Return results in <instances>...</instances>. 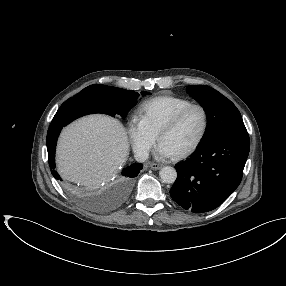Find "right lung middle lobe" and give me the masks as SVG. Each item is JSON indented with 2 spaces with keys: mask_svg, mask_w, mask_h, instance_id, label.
Masks as SVG:
<instances>
[{
  "mask_svg": "<svg viewBox=\"0 0 286 286\" xmlns=\"http://www.w3.org/2000/svg\"><path fill=\"white\" fill-rule=\"evenodd\" d=\"M149 92H141L147 95ZM139 94L132 90L95 84L84 88L73 98H69L58 109L52 121L67 125L81 116L93 113H102L114 117L116 114L125 118L128 111L136 105ZM124 196L128 193L131 182L125 186L121 182Z\"/></svg>",
  "mask_w": 286,
  "mask_h": 286,
  "instance_id": "1",
  "label": "right lung middle lobe"
}]
</instances>
